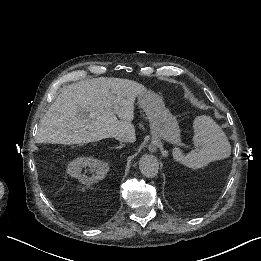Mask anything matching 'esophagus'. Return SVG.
Segmentation results:
<instances>
[{
  "label": "esophagus",
  "mask_w": 261,
  "mask_h": 261,
  "mask_svg": "<svg viewBox=\"0 0 261 261\" xmlns=\"http://www.w3.org/2000/svg\"><path fill=\"white\" fill-rule=\"evenodd\" d=\"M156 150H157L156 146H154V145H150L149 146V151L150 152H156Z\"/></svg>",
  "instance_id": "1"
}]
</instances>
